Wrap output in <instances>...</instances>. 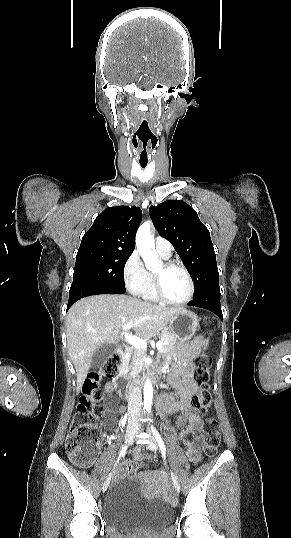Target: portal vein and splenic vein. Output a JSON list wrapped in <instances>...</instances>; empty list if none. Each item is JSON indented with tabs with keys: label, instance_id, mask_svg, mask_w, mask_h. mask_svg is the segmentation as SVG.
<instances>
[{
	"label": "portal vein and splenic vein",
	"instance_id": "18ae733b",
	"mask_svg": "<svg viewBox=\"0 0 291 538\" xmlns=\"http://www.w3.org/2000/svg\"><path fill=\"white\" fill-rule=\"evenodd\" d=\"M135 325H136V323H127L122 327V330L124 332V337L127 340V342H129L135 348L146 349L147 348V343H146L145 340L128 333V330L130 328H132L133 326H135ZM93 332L96 333L97 331L93 330ZM165 342L168 343L167 340H165ZM162 346H163V342L161 340L156 342V347L157 348H161Z\"/></svg>",
	"mask_w": 291,
	"mask_h": 538
}]
</instances>
